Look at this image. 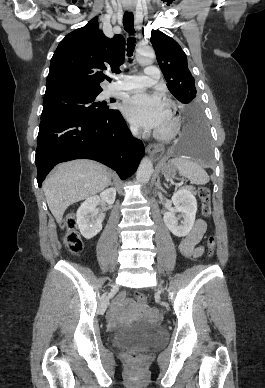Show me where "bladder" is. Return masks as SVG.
Wrapping results in <instances>:
<instances>
[{
  "instance_id": "1",
  "label": "bladder",
  "mask_w": 265,
  "mask_h": 388,
  "mask_svg": "<svg viewBox=\"0 0 265 388\" xmlns=\"http://www.w3.org/2000/svg\"><path fill=\"white\" fill-rule=\"evenodd\" d=\"M160 328L155 324L137 322L128 327H121L112 336L114 345H132L137 348L151 347L155 338L161 337Z\"/></svg>"
}]
</instances>
